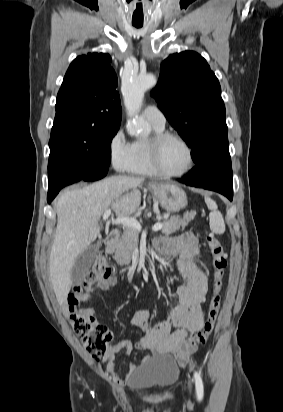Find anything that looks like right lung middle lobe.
Here are the masks:
<instances>
[{
	"mask_svg": "<svg viewBox=\"0 0 283 412\" xmlns=\"http://www.w3.org/2000/svg\"><path fill=\"white\" fill-rule=\"evenodd\" d=\"M115 130H101L78 116L55 118L49 141L48 174L93 164H110Z\"/></svg>",
	"mask_w": 283,
	"mask_h": 412,
	"instance_id": "obj_1",
	"label": "right lung middle lobe"
}]
</instances>
